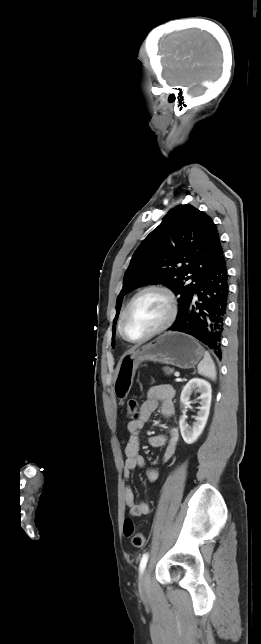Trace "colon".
Masks as SVG:
<instances>
[{
    "label": "colon",
    "instance_id": "5ec220e1",
    "mask_svg": "<svg viewBox=\"0 0 261 644\" xmlns=\"http://www.w3.org/2000/svg\"><path fill=\"white\" fill-rule=\"evenodd\" d=\"M127 416L131 420H136L140 416V404L137 399H130L127 404ZM123 532L127 538H130L131 543L136 548L144 546L145 538L143 534L137 531L133 521L129 518L125 519L123 525Z\"/></svg>",
    "mask_w": 261,
    "mask_h": 644
}]
</instances>
